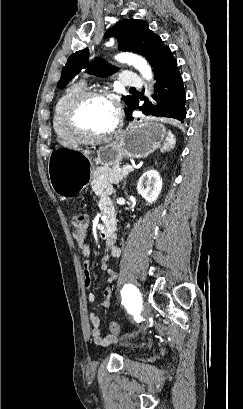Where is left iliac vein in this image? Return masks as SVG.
<instances>
[{
	"instance_id": "4c4485c4",
	"label": "left iliac vein",
	"mask_w": 243,
	"mask_h": 409,
	"mask_svg": "<svg viewBox=\"0 0 243 409\" xmlns=\"http://www.w3.org/2000/svg\"><path fill=\"white\" fill-rule=\"evenodd\" d=\"M150 313H151V310H150L149 304H148V303H144V305H143V310H142V315H143V317L146 318V319L149 318ZM142 329H143V327H141L137 332L132 333V334H128V335H126V336H134V335H137Z\"/></svg>"
}]
</instances>
